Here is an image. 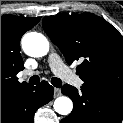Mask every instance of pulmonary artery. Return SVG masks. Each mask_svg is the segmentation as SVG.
<instances>
[{
  "label": "pulmonary artery",
  "instance_id": "obj_1",
  "mask_svg": "<svg viewBox=\"0 0 123 123\" xmlns=\"http://www.w3.org/2000/svg\"><path fill=\"white\" fill-rule=\"evenodd\" d=\"M48 63L53 73L62 80L74 86L81 84L79 77L68 69L57 53L52 52L49 54ZM25 74L31 75L32 71H26Z\"/></svg>",
  "mask_w": 123,
  "mask_h": 123
}]
</instances>
